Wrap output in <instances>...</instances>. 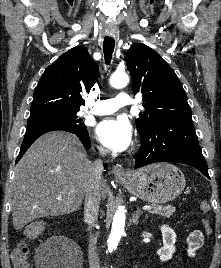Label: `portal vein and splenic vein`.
<instances>
[{
    "label": "portal vein and splenic vein",
    "instance_id": "portal-vein-and-splenic-vein-1",
    "mask_svg": "<svg viewBox=\"0 0 221 268\" xmlns=\"http://www.w3.org/2000/svg\"><path fill=\"white\" fill-rule=\"evenodd\" d=\"M58 200H61V198H58ZM143 210H150L152 209V206L146 205L142 207Z\"/></svg>",
    "mask_w": 221,
    "mask_h": 268
}]
</instances>
